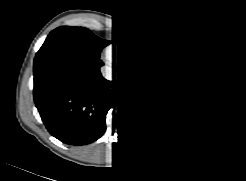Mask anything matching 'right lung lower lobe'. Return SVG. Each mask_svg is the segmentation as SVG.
<instances>
[{
  "label": "right lung lower lobe",
  "mask_w": 246,
  "mask_h": 181,
  "mask_svg": "<svg viewBox=\"0 0 246 181\" xmlns=\"http://www.w3.org/2000/svg\"><path fill=\"white\" fill-rule=\"evenodd\" d=\"M101 66L67 52L34 65V101L46 128L58 140L70 145L96 141L106 130L109 109L128 94L126 81L106 80Z\"/></svg>",
  "instance_id": "1"
}]
</instances>
